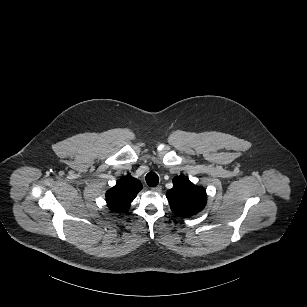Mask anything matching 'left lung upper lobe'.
<instances>
[{
  "instance_id": "5c2ea615",
  "label": "left lung upper lobe",
  "mask_w": 307,
  "mask_h": 307,
  "mask_svg": "<svg viewBox=\"0 0 307 307\" xmlns=\"http://www.w3.org/2000/svg\"><path fill=\"white\" fill-rule=\"evenodd\" d=\"M173 183V188L167 191L166 196L175 214L189 217L205 207L207 196L203 187L194 185L184 175L175 177Z\"/></svg>"
}]
</instances>
